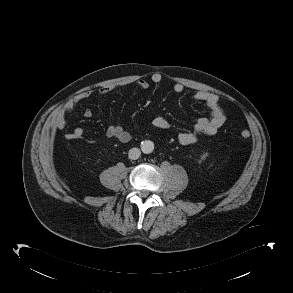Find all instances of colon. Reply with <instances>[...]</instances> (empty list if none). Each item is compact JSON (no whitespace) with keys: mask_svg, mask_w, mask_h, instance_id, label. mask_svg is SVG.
<instances>
[{"mask_svg":"<svg viewBox=\"0 0 293 293\" xmlns=\"http://www.w3.org/2000/svg\"><path fill=\"white\" fill-rule=\"evenodd\" d=\"M240 137L244 140L248 139L250 137V132L248 130H243L240 133Z\"/></svg>","mask_w":293,"mask_h":293,"instance_id":"1","label":"colon"}]
</instances>
